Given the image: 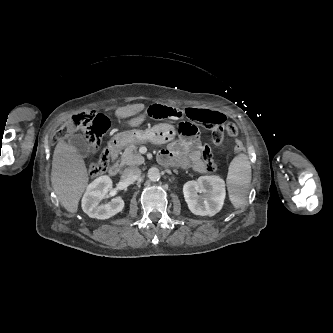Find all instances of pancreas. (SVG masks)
Returning a JSON list of instances; mask_svg holds the SVG:
<instances>
[{"instance_id": "1", "label": "pancreas", "mask_w": 333, "mask_h": 333, "mask_svg": "<svg viewBox=\"0 0 333 333\" xmlns=\"http://www.w3.org/2000/svg\"><path fill=\"white\" fill-rule=\"evenodd\" d=\"M121 165L135 166L144 163V157L137 151L136 145H130L125 148L121 159Z\"/></svg>"}]
</instances>
